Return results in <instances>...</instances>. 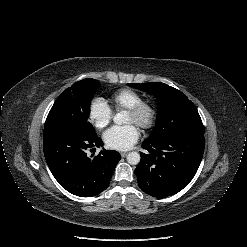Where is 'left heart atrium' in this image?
<instances>
[{"label":"left heart atrium","mask_w":247,"mask_h":247,"mask_svg":"<svg viewBox=\"0 0 247 247\" xmlns=\"http://www.w3.org/2000/svg\"><path fill=\"white\" fill-rule=\"evenodd\" d=\"M105 144L115 150H127L139 139V130L133 123L113 126L104 133Z\"/></svg>","instance_id":"1"}]
</instances>
